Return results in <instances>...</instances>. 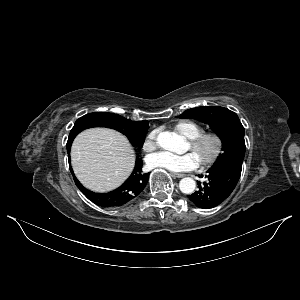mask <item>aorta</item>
I'll use <instances>...</instances> for the list:
<instances>
[{
	"mask_svg": "<svg viewBox=\"0 0 300 300\" xmlns=\"http://www.w3.org/2000/svg\"><path fill=\"white\" fill-rule=\"evenodd\" d=\"M157 143L165 150L180 153L184 141L179 135L163 132L158 135ZM179 188L182 193L192 194L196 188V182L190 177L183 178L179 182Z\"/></svg>",
	"mask_w": 300,
	"mask_h": 300,
	"instance_id": "aorta-1",
	"label": "aorta"
}]
</instances>
